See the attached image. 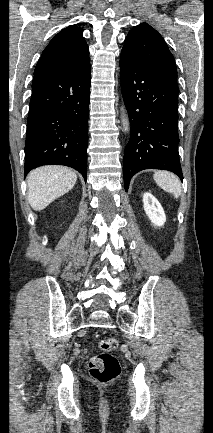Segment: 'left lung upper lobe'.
<instances>
[{"label":"left lung upper lobe","mask_w":213,"mask_h":433,"mask_svg":"<svg viewBox=\"0 0 213 433\" xmlns=\"http://www.w3.org/2000/svg\"><path fill=\"white\" fill-rule=\"evenodd\" d=\"M122 51L146 68L177 81L175 60L162 36L147 23L133 27Z\"/></svg>","instance_id":"obj_1"}]
</instances>
